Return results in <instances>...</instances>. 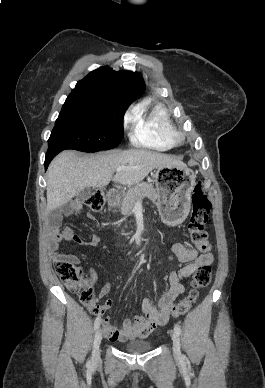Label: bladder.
Instances as JSON below:
<instances>
[{
    "label": "bladder",
    "instance_id": "1",
    "mask_svg": "<svg viewBox=\"0 0 265 388\" xmlns=\"http://www.w3.org/2000/svg\"><path fill=\"white\" fill-rule=\"evenodd\" d=\"M153 347V342H146L143 340L132 341L122 346L123 350L140 353L149 352Z\"/></svg>",
    "mask_w": 265,
    "mask_h": 388
}]
</instances>
